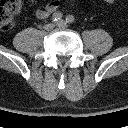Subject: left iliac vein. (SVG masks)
<instances>
[{"instance_id": "1", "label": "left iliac vein", "mask_w": 128, "mask_h": 128, "mask_svg": "<svg viewBox=\"0 0 128 128\" xmlns=\"http://www.w3.org/2000/svg\"><path fill=\"white\" fill-rule=\"evenodd\" d=\"M57 26L61 27V28H66L67 23L64 20H61V21L57 22Z\"/></svg>"}]
</instances>
